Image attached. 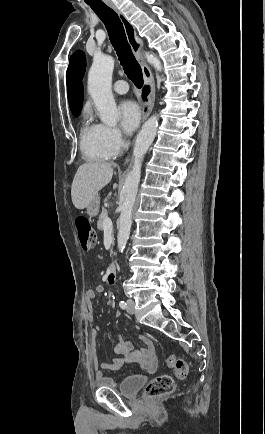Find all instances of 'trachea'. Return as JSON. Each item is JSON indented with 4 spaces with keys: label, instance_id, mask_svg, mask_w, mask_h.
I'll use <instances>...</instances> for the list:
<instances>
[{
    "label": "trachea",
    "instance_id": "trachea-1",
    "mask_svg": "<svg viewBox=\"0 0 265 434\" xmlns=\"http://www.w3.org/2000/svg\"><path fill=\"white\" fill-rule=\"evenodd\" d=\"M92 10L105 24L111 43L116 50L120 63L127 77L141 88L143 85V74L139 63L134 57L131 47L127 41L124 27L117 13L105 3H88Z\"/></svg>",
    "mask_w": 265,
    "mask_h": 434
}]
</instances>
